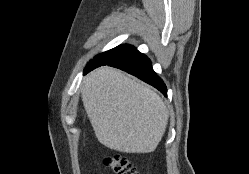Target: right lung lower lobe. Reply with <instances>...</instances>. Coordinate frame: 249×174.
Returning <instances> with one entry per match:
<instances>
[{
  "label": "right lung lower lobe",
  "instance_id": "right-lung-lower-lobe-1",
  "mask_svg": "<svg viewBox=\"0 0 249 174\" xmlns=\"http://www.w3.org/2000/svg\"><path fill=\"white\" fill-rule=\"evenodd\" d=\"M102 65H109L124 70L157 88L167 96L166 86L161 78L153 71L150 59L136 49L126 53L117 60L111 62L102 61L89 65L86 67L84 74Z\"/></svg>",
  "mask_w": 249,
  "mask_h": 174
}]
</instances>
